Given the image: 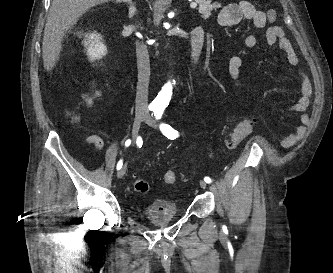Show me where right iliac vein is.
Wrapping results in <instances>:
<instances>
[{
	"label": "right iliac vein",
	"mask_w": 333,
	"mask_h": 273,
	"mask_svg": "<svg viewBox=\"0 0 333 273\" xmlns=\"http://www.w3.org/2000/svg\"><path fill=\"white\" fill-rule=\"evenodd\" d=\"M145 118V113L144 112H138L136 115H135V118H134V122H133V126H132V139L135 140L138 136V133H139V129H140V126H141V123L142 121L144 120ZM126 165L123 166L117 173V177L118 178H122L124 176V174L126 173Z\"/></svg>",
	"instance_id": "right-iliac-vein-1"
}]
</instances>
